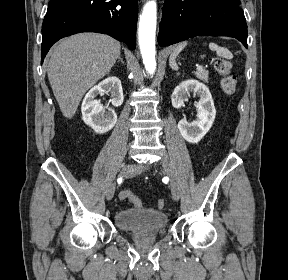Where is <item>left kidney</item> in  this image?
<instances>
[{
  "instance_id": "5707ae66",
  "label": "left kidney",
  "mask_w": 288,
  "mask_h": 280,
  "mask_svg": "<svg viewBox=\"0 0 288 280\" xmlns=\"http://www.w3.org/2000/svg\"><path fill=\"white\" fill-rule=\"evenodd\" d=\"M190 93L200 97L196 105L197 119L188 122L186 117L178 123V129L181 136L189 143H198L205 134L210 130L216 116V109L211 93L203 83L190 79L180 83L172 94V105L179 109L185 106Z\"/></svg>"
}]
</instances>
